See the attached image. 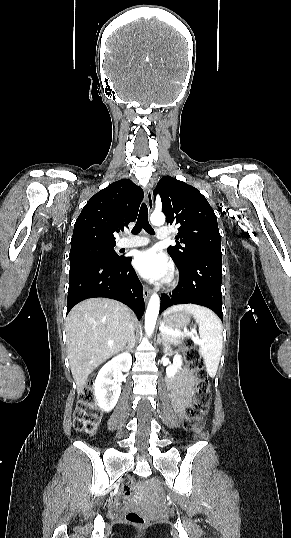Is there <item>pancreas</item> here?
Returning <instances> with one entry per match:
<instances>
[{
	"instance_id": "pancreas-1",
	"label": "pancreas",
	"mask_w": 291,
	"mask_h": 538,
	"mask_svg": "<svg viewBox=\"0 0 291 538\" xmlns=\"http://www.w3.org/2000/svg\"><path fill=\"white\" fill-rule=\"evenodd\" d=\"M163 340L167 343H171L174 345L181 344L184 341L185 335H171L166 332H163L162 334Z\"/></svg>"
}]
</instances>
